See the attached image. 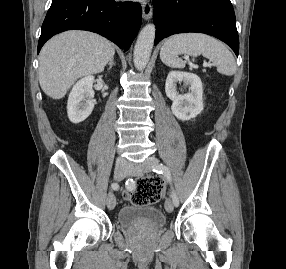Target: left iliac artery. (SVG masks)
Here are the masks:
<instances>
[{"label":"left iliac artery","mask_w":286,"mask_h":269,"mask_svg":"<svg viewBox=\"0 0 286 269\" xmlns=\"http://www.w3.org/2000/svg\"><path fill=\"white\" fill-rule=\"evenodd\" d=\"M152 170L154 172H157V173H162L166 177V179L170 183V185L172 184L171 183L172 182L171 174H170L169 169L166 166H164L163 164H157V165H154L152 167ZM171 197H172L174 205L178 206L179 205V199H178V197H177V195H176V193H175L173 188H172V191H171Z\"/></svg>","instance_id":"1"}]
</instances>
